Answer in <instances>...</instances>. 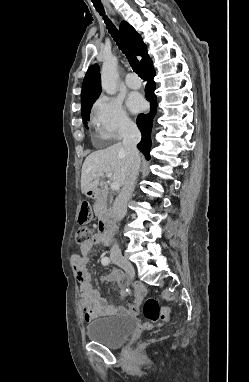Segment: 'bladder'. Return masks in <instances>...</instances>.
Here are the masks:
<instances>
[{"instance_id":"31cf9c89","label":"bladder","mask_w":249,"mask_h":382,"mask_svg":"<svg viewBox=\"0 0 249 382\" xmlns=\"http://www.w3.org/2000/svg\"><path fill=\"white\" fill-rule=\"evenodd\" d=\"M136 326L132 316H109L93 320L86 328L87 338L108 348L123 345Z\"/></svg>"}]
</instances>
